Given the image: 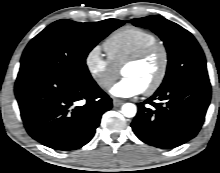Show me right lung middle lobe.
I'll return each instance as SVG.
<instances>
[{"instance_id": "1", "label": "right lung middle lobe", "mask_w": 220, "mask_h": 173, "mask_svg": "<svg viewBox=\"0 0 220 173\" xmlns=\"http://www.w3.org/2000/svg\"><path fill=\"white\" fill-rule=\"evenodd\" d=\"M123 24L117 19L95 23L58 20L29 42L20 71H51L75 81L91 80L85 63L88 53Z\"/></svg>"}]
</instances>
